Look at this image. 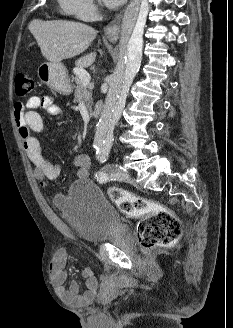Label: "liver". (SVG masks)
I'll list each match as a JSON object with an SVG mask.
<instances>
[{"mask_svg": "<svg viewBox=\"0 0 233 328\" xmlns=\"http://www.w3.org/2000/svg\"><path fill=\"white\" fill-rule=\"evenodd\" d=\"M30 31L41 49L42 55L50 62L60 63L83 53L96 38L97 31L83 23L53 20H35ZM96 53L91 52L76 61L78 68H85L95 61Z\"/></svg>", "mask_w": 233, "mask_h": 328, "instance_id": "obj_1", "label": "liver"}]
</instances>
